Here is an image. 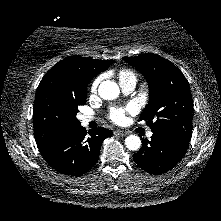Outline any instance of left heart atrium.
<instances>
[{"label":"left heart atrium","instance_id":"left-heart-atrium-1","mask_svg":"<svg viewBox=\"0 0 221 221\" xmlns=\"http://www.w3.org/2000/svg\"><path fill=\"white\" fill-rule=\"evenodd\" d=\"M134 112L135 107L133 105H128L126 107H116L111 109L109 118L111 121L119 124L125 121L128 113Z\"/></svg>","mask_w":221,"mask_h":221}]
</instances>
